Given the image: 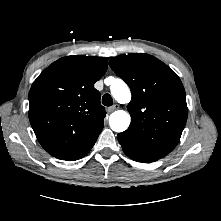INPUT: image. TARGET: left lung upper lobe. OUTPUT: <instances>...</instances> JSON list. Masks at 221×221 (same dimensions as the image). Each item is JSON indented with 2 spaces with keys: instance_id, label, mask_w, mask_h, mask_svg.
<instances>
[{
  "instance_id": "obj_1",
  "label": "left lung upper lobe",
  "mask_w": 221,
  "mask_h": 221,
  "mask_svg": "<svg viewBox=\"0 0 221 221\" xmlns=\"http://www.w3.org/2000/svg\"><path fill=\"white\" fill-rule=\"evenodd\" d=\"M112 70L130 87L131 124L123 132L139 150L162 158L178 144L187 120L184 87L157 58L143 53L114 57Z\"/></svg>"
}]
</instances>
